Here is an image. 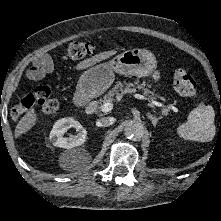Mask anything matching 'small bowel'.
<instances>
[{
  "instance_id": "obj_1",
  "label": "small bowel",
  "mask_w": 221,
  "mask_h": 221,
  "mask_svg": "<svg viewBox=\"0 0 221 221\" xmlns=\"http://www.w3.org/2000/svg\"><path fill=\"white\" fill-rule=\"evenodd\" d=\"M53 72V62L47 55H39L33 62L28 76L32 80H38L50 75Z\"/></svg>"
}]
</instances>
